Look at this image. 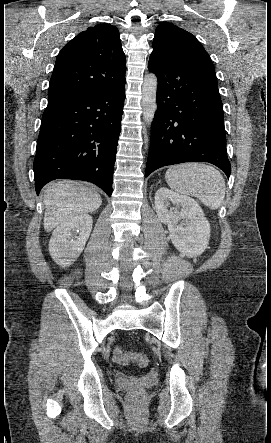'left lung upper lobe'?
<instances>
[{
    "mask_svg": "<svg viewBox=\"0 0 271 443\" xmlns=\"http://www.w3.org/2000/svg\"><path fill=\"white\" fill-rule=\"evenodd\" d=\"M152 53L214 68L202 44L191 33L168 22L157 26Z\"/></svg>",
    "mask_w": 271,
    "mask_h": 443,
    "instance_id": "5c2ea615",
    "label": "left lung upper lobe"
}]
</instances>
